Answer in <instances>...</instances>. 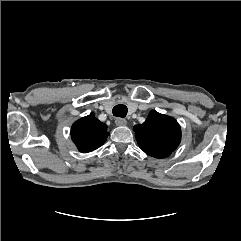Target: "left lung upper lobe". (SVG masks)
I'll list each match as a JSON object with an SVG mask.
<instances>
[{"mask_svg":"<svg viewBox=\"0 0 241 241\" xmlns=\"http://www.w3.org/2000/svg\"><path fill=\"white\" fill-rule=\"evenodd\" d=\"M140 149L152 157L165 158L179 145L181 129L177 121L155 110L150 111L143 124L134 126Z\"/></svg>","mask_w":241,"mask_h":241,"instance_id":"left-lung-upper-lobe-1","label":"left lung upper lobe"}]
</instances>
